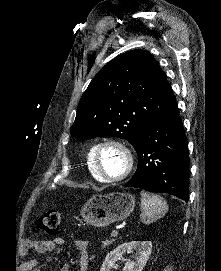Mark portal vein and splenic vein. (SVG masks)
I'll use <instances>...</instances> for the list:
<instances>
[{"instance_id": "portal-vein-and-splenic-vein-1", "label": "portal vein and splenic vein", "mask_w": 221, "mask_h": 271, "mask_svg": "<svg viewBox=\"0 0 221 271\" xmlns=\"http://www.w3.org/2000/svg\"><path fill=\"white\" fill-rule=\"evenodd\" d=\"M117 233H118L117 229H114V231H112V233H111L112 237H115V235H117Z\"/></svg>"}]
</instances>
